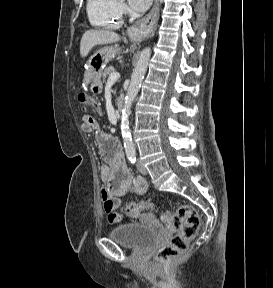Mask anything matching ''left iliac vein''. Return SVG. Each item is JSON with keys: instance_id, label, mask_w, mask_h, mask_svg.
Instances as JSON below:
<instances>
[{"instance_id": "left-iliac-vein-1", "label": "left iliac vein", "mask_w": 273, "mask_h": 288, "mask_svg": "<svg viewBox=\"0 0 273 288\" xmlns=\"http://www.w3.org/2000/svg\"><path fill=\"white\" fill-rule=\"evenodd\" d=\"M137 168L141 174H143V175L148 174V170L145 168V166L143 165V163L140 160L137 161Z\"/></svg>"}]
</instances>
